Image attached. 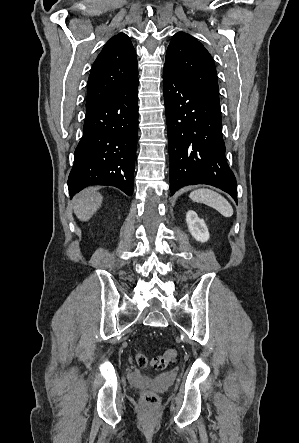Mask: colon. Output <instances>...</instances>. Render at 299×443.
<instances>
[{"mask_svg":"<svg viewBox=\"0 0 299 443\" xmlns=\"http://www.w3.org/2000/svg\"><path fill=\"white\" fill-rule=\"evenodd\" d=\"M176 357L177 351L175 349H169L162 355L153 358H148L145 354L138 352L136 361L141 368L163 369ZM141 400L147 405L154 406L158 403V396L152 391L144 390L141 394Z\"/></svg>","mask_w":299,"mask_h":443,"instance_id":"5ec220e1","label":"colon"}]
</instances>
